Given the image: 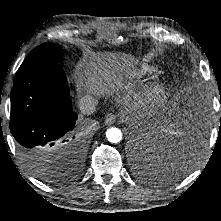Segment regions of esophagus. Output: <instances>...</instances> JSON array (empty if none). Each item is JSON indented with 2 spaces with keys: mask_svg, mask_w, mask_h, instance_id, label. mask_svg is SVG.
Masks as SVG:
<instances>
[{
  "mask_svg": "<svg viewBox=\"0 0 221 221\" xmlns=\"http://www.w3.org/2000/svg\"><path fill=\"white\" fill-rule=\"evenodd\" d=\"M116 120V115L113 114V113H108L106 116H105V124L107 125H112Z\"/></svg>",
  "mask_w": 221,
  "mask_h": 221,
  "instance_id": "esophagus-1",
  "label": "esophagus"
}]
</instances>
